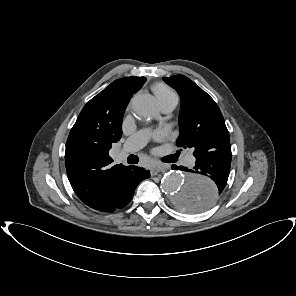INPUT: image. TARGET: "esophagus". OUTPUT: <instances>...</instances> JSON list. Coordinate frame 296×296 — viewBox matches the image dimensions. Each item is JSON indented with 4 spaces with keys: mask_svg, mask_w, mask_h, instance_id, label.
Instances as JSON below:
<instances>
[{
    "mask_svg": "<svg viewBox=\"0 0 296 296\" xmlns=\"http://www.w3.org/2000/svg\"><path fill=\"white\" fill-rule=\"evenodd\" d=\"M167 166L163 164H157L150 168V173L152 176L157 175L159 172L166 170Z\"/></svg>",
    "mask_w": 296,
    "mask_h": 296,
    "instance_id": "1",
    "label": "esophagus"
}]
</instances>
